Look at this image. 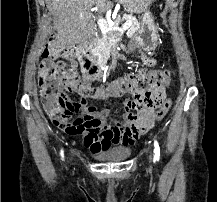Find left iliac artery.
Returning a JSON list of instances; mask_svg holds the SVG:
<instances>
[{
	"label": "left iliac artery",
	"instance_id": "44dca946",
	"mask_svg": "<svg viewBox=\"0 0 217 202\" xmlns=\"http://www.w3.org/2000/svg\"><path fill=\"white\" fill-rule=\"evenodd\" d=\"M154 161H159V158H160V147H159V144L158 142L155 140L154 141Z\"/></svg>",
	"mask_w": 217,
	"mask_h": 202
}]
</instances>
